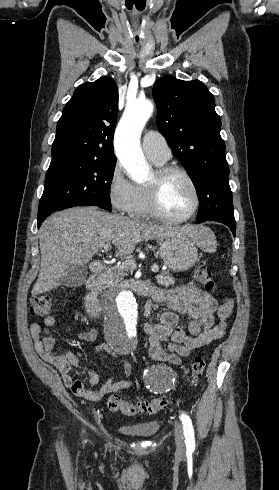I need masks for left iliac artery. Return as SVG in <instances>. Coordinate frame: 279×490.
Returning a JSON list of instances; mask_svg holds the SVG:
<instances>
[{
	"mask_svg": "<svg viewBox=\"0 0 279 490\" xmlns=\"http://www.w3.org/2000/svg\"><path fill=\"white\" fill-rule=\"evenodd\" d=\"M180 420L182 421L183 425L186 448L195 450V438L192 421L190 417L184 413L180 415Z\"/></svg>",
	"mask_w": 279,
	"mask_h": 490,
	"instance_id": "left-iliac-artery-1",
	"label": "left iliac artery"
}]
</instances>
